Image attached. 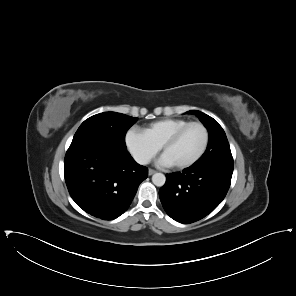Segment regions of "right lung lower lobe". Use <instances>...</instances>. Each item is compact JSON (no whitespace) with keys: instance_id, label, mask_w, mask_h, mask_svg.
<instances>
[{"instance_id":"98d812e1","label":"right lung lower lobe","mask_w":296,"mask_h":296,"mask_svg":"<svg viewBox=\"0 0 296 296\" xmlns=\"http://www.w3.org/2000/svg\"><path fill=\"white\" fill-rule=\"evenodd\" d=\"M64 167L72 199L103 220L123 214L148 176V169L136 163L127 149L94 141L71 143Z\"/></svg>"}]
</instances>
